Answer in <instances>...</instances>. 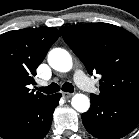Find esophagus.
Masks as SVG:
<instances>
[{
	"label": "esophagus",
	"instance_id": "obj_1",
	"mask_svg": "<svg viewBox=\"0 0 139 139\" xmlns=\"http://www.w3.org/2000/svg\"><path fill=\"white\" fill-rule=\"evenodd\" d=\"M62 95H63L65 98H71L73 94L70 93V92H63Z\"/></svg>",
	"mask_w": 139,
	"mask_h": 139
}]
</instances>
